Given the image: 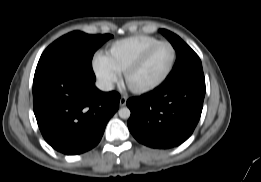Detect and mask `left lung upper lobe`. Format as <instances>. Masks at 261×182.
I'll list each match as a JSON object with an SVG mask.
<instances>
[{"label": "left lung upper lobe", "instance_id": "5c2ea615", "mask_svg": "<svg viewBox=\"0 0 261 182\" xmlns=\"http://www.w3.org/2000/svg\"><path fill=\"white\" fill-rule=\"evenodd\" d=\"M159 31L170 41L177 56L172 71L160 86L168 87L186 78L204 75L200 58L179 36L165 29Z\"/></svg>", "mask_w": 261, "mask_h": 182}]
</instances>
